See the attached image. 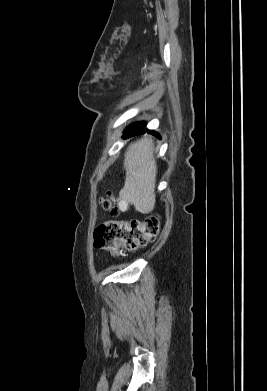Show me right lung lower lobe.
Instances as JSON below:
<instances>
[{"instance_id":"obj_1","label":"right lung lower lobe","mask_w":267,"mask_h":391,"mask_svg":"<svg viewBox=\"0 0 267 391\" xmlns=\"http://www.w3.org/2000/svg\"><path fill=\"white\" fill-rule=\"evenodd\" d=\"M145 132V123L144 122H137L134 123L126 128L124 131V138L131 137L136 134H141ZM148 133H150L149 130H147ZM153 134H156L155 132H151Z\"/></svg>"}]
</instances>
